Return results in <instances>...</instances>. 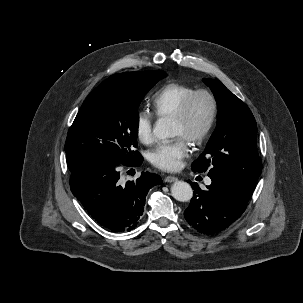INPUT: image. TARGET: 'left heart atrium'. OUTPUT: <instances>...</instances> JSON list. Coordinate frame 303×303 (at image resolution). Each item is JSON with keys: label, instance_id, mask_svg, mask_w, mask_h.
I'll list each match as a JSON object with an SVG mask.
<instances>
[{"label": "left heart atrium", "instance_id": "left-heart-atrium-1", "mask_svg": "<svg viewBox=\"0 0 303 303\" xmlns=\"http://www.w3.org/2000/svg\"><path fill=\"white\" fill-rule=\"evenodd\" d=\"M189 154L187 140L181 136L170 143L159 145L149 155L150 162L157 168L165 171L178 170L183 160Z\"/></svg>", "mask_w": 303, "mask_h": 303}]
</instances>
